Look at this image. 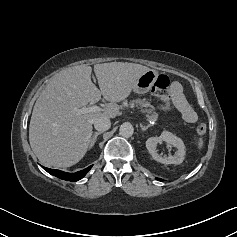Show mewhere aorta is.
I'll use <instances>...</instances> for the list:
<instances>
[{
	"label": "aorta",
	"instance_id": "obj_1",
	"mask_svg": "<svg viewBox=\"0 0 237 237\" xmlns=\"http://www.w3.org/2000/svg\"><path fill=\"white\" fill-rule=\"evenodd\" d=\"M119 133L123 137H131L134 133V128L131 123L125 122L120 126Z\"/></svg>",
	"mask_w": 237,
	"mask_h": 237
}]
</instances>
